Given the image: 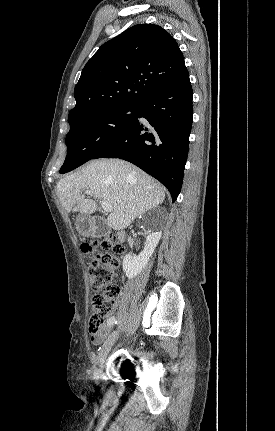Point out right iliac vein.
<instances>
[{
	"instance_id": "1",
	"label": "right iliac vein",
	"mask_w": 275,
	"mask_h": 431,
	"mask_svg": "<svg viewBox=\"0 0 275 431\" xmlns=\"http://www.w3.org/2000/svg\"><path fill=\"white\" fill-rule=\"evenodd\" d=\"M118 337H119V333L115 331L111 333L109 337L106 339V341L104 342V345L102 346L95 363L94 375L96 377H100L102 375L103 367H104V363L107 358V355L111 347L115 343V341L118 339Z\"/></svg>"
}]
</instances>
